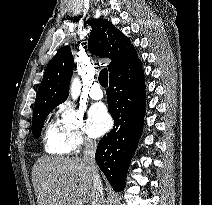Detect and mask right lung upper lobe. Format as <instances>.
<instances>
[{
  "label": "right lung upper lobe",
  "mask_w": 212,
  "mask_h": 205,
  "mask_svg": "<svg viewBox=\"0 0 212 205\" xmlns=\"http://www.w3.org/2000/svg\"><path fill=\"white\" fill-rule=\"evenodd\" d=\"M88 47L96 56L111 59L108 65L110 75L138 58L130 39L103 18L93 22ZM73 69L74 61L70 47L64 46L46 67L34 109L43 105H58L67 99Z\"/></svg>",
  "instance_id": "1"
}]
</instances>
